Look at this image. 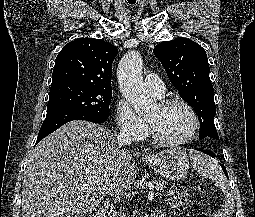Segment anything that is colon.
<instances>
[{
    "instance_id": "colon-1",
    "label": "colon",
    "mask_w": 255,
    "mask_h": 217,
    "mask_svg": "<svg viewBox=\"0 0 255 217\" xmlns=\"http://www.w3.org/2000/svg\"><path fill=\"white\" fill-rule=\"evenodd\" d=\"M188 202V194L182 186L174 185L170 190V204L174 208H182Z\"/></svg>"
}]
</instances>
